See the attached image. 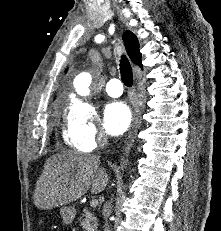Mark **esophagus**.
Returning a JSON list of instances; mask_svg holds the SVG:
<instances>
[{"instance_id": "34e87169", "label": "esophagus", "mask_w": 221, "mask_h": 231, "mask_svg": "<svg viewBox=\"0 0 221 231\" xmlns=\"http://www.w3.org/2000/svg\"><path fill=\"white\" fill-rule=\"evenodd\" d=\"M139 115H140V114H139V110H137V111H136V114H135V118H134V119H135V121H134V125H133V127H135V126H136V124H137V122H138V120H139Z\"/></svg>"}]
</instances>
